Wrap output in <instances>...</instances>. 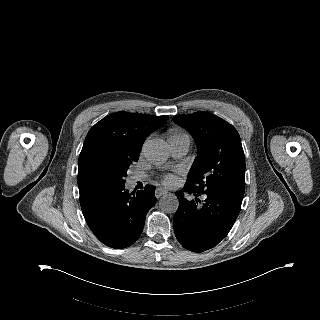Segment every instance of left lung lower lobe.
<instances>
[{
  "instance_id": "1",
  "label": "left lung lower lobe",
  "mask_w": 320,
  "mask_h": 320,
  "mask_svg": "<svg viewBox=\"0 0 320 320\" xmlns=\"http://www.w3.org/2000/svg\"><path fill=\"white\" fill-rule=\"evenodd\" d=\"M185 190L205 200H187L178 193L179 207L173 218L175 235L180 244L193 252H203L216 246L231 230L241 209L243 195L228 189L196 193L187 185Z\"/></svg>"
}]
</instances>
